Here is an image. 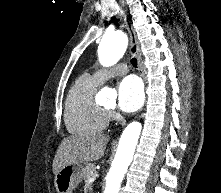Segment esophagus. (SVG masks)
<instances>
[{
    "label": "esophagus",
    "instance_id": "1",
    "mask_svg": "<svg viewBox=\"0 0 221 193\" xmlns=\"http://www.w3.org/2000/svg\"><path fill=\"white\" fill-rule=\"evenodd\" d=\"M126 26H127V30H128L129 37H130V51H131V54L134 55L137 58L138 69H139V71L141 73V76L143 77L144 81L146 82V78H145L144 71H143V66H142V59H141V55H140V52H139V44H138L135 29H134V27H133V25L130 21H126Z\"/></svg>",
    "mask_w": 221,
    "mask_h": 193
}]
</instances>
